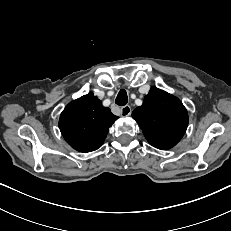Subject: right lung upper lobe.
Instances as JSON below:
<instances>
[{
  "instance_id": "obj_1",
  "label": "right lung upper lobe",
  "mask_w": 231,
  "mask_h": 231,
  "mask_svg": "<svg viewBox=\"0 0 231 231\" xmlns=\"http://www.w3.org/2000/svg\"><path fill=\"white\" fill-rule=\"evenodd\" d=\"M117 118L93 93H89L65 107L60 115L59 128L72 148L91 152L101 147Z\"/></svg>"
}]
</instances>
